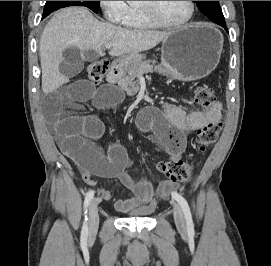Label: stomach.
<instances>
[{"label": "stomach", "mask_w": 271, "mask_h": 266, "mask_svg": "<svg viewBox=\"0 0 271 266\" xmlns=\"http://www.w3.org/2000/svg\"><path fill=\"white\" fill-rule=\"evenodd\" d=\"M223 36L214 27L195 23L171 32L162 41L161 70L171 78L193 81L208 76L218 65ZM138 53L123 56L119 64L130 69L142 62Z\"/></svg>", "instance_id": "obj_1"}]
</instances>
